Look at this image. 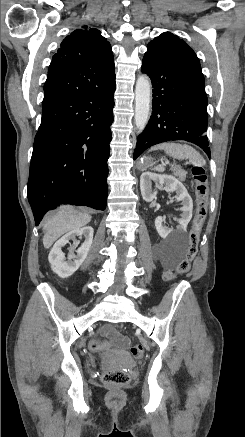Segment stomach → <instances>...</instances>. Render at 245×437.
<instances>
[{"instance_id":"0dacf381","label":"stomach","mask_w":245,"mask_h":437,"mask_svg":"<svg viewBox=\"0 0 245 437\" xmlns=\"http://www.w3.org/2000/svg\"><path fill=\"white\" fill-rule=\"evenodd\" d=\"M150 162H151V158H150V157H145V158H144V162H139V163H138V168L141 169V170H143V169H145L147 166L150 165Z\"/></svg>"}]
</instances>
